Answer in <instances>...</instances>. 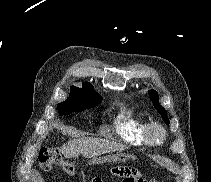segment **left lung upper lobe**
Returning <instances> with one entry per match:
<instances>
[{
  "instance_id": "left-lung-upper-lobe-1",
  "label": "left lung upper lobe",
  "mask_w": 211,
  "mask_h": 182,
  "mask_svg": "<svg viewBox=\"0 0 211 182\" xmlns=\"http://www.w3.org/2000/svg\"><path fill=\"white\" fill-rule=\"evenodd\" d=\"M148 94L153 102V105L155 107V109L160 113V115L162 116L163 120L169 124V120L167 117V113L165 111V109L159 104V96L158 93L155 90H149Z\"/></svg>"
}]
</instances>
